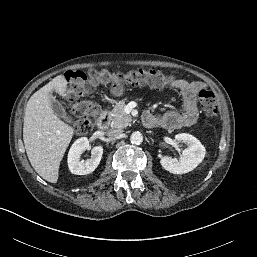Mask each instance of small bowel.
I'll return each mask as SVG.
<instances>
[{
	"mask_svg": "<svg viewBox=\"0 0 257 257\" xmlns=\"http://www.w3.org/2000/svg\"><path fill=\"white\" fill-rule=\"evenodd\" d=\"M168 86L179 91L182 97L181 112L167 111L161 115L146 112L144 115L146 126L178 129L193 125L198 118L197 95L204 89V85L201 82L176 79Z\"/></svg>",
	"mask_w": 257,
	"mask_h": 257,
	"instance_id": "obj_1",
	"label": "small bowel"
}]
</instances>
